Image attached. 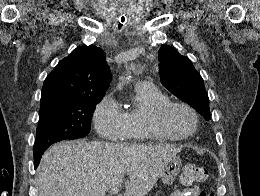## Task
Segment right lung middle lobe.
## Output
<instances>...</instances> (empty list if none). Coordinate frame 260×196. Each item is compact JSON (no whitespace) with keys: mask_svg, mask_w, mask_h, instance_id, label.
Returning <instances> with one entry per match:
<instances>
[{"mask_svg":"<svg viewBox=\"0 0 260 196\" xmlns=\"http://www.w3.org/2000/svg\"><path fill=\"white\" fill-rule=\"evenodd\" d=\"M102 97H83L40 106L34 150L48 148L64 139L85 137L96 104Z\"/></svg>","mask_w":260,"mask_h":196,"instance_id":"right-lung-middle-lobe-1","label":"right lung middle lobe"}]
</instances>
